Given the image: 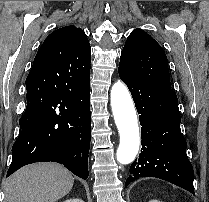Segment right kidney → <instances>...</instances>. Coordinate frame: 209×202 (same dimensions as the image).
<instances>
[{"label": "right kidney", "mask_w": 209, "mask_h": 202, "mask_svg": "<svg viewBox=\"0 0 209 202\" xmlns=\"http://www.w3.org/2000/svg\"><path fill=\"white\" fill-rule=\"evenodd\" d=\"M64 202H84L82 199L74 198V199H68Z\"/></svg>", "instance_id": "ca27d5eb"}]
</instances>
